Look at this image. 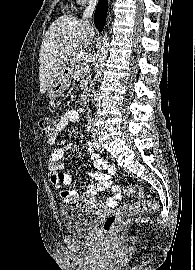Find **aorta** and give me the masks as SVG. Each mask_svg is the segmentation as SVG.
Masks as SVG:
<instances>
[{
  "label": "aorta",
  "mask_w": 195,
  "mask_h": 270,
  "mask_svg": "<svg viewBox=\"0 0 195 270\" xmlns=\"http://www.w3.org/2000/svg\"><path fill=\"white\" fill-rule=\"evenodd\" d=\"M108 36L105 34L102 37V45H101V50H100V55L98 57L97 63H96V70H95V78L98 79L103 71V66L105 59L107 57V47H108Z\"/></svg>",
  "instance_id": "obj_1"
}]
</instances>
